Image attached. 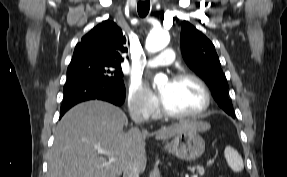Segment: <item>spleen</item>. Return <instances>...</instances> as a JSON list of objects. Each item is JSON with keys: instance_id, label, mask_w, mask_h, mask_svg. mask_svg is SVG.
I'll return each instance as SVG.
<instances>
[{"instance_id": "obj_1", "label": "spleen", "mask_w": 287, "mask_h": 177, "mask_svg": "<svg viewBox=\"0 0 287 177\" xmlns=\"http://www.w3.org/2000/svg\"><path fill=\"white\" fill-rule=\"evenodd\" d=\"M224 156L230 168L234 172H241L244 168L242 157L237 150L231 146H226L224 150Z\"/></svg>"}]
</instances>
